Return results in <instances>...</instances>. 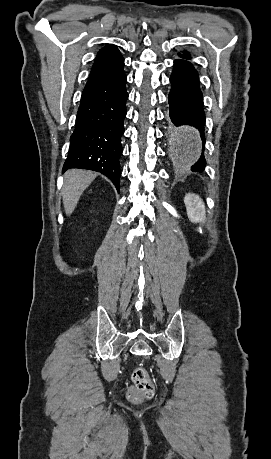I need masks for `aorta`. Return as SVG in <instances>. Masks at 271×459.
I'll return each mask as SVG.
<instances>
[{"label": "aorta", "mask_w": 271, "mask_h": 459, "mask_svg": "<svg viewBox=\"0 0 271 459\" xmlns=\"http://www.w3.org/2000/svg\"><path fill=\"white\" fill-rule=\"evenodd\" d=\"M170 157L176 167L188 168L202 153V141L194 128H174L170 132Z\"/></svg>", "instance_id": "obj_1"}]
</instances>
